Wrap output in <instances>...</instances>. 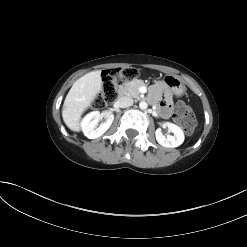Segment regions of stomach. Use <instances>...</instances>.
<instances>
[{"label": "stomach", "mask_w": 247, "mask_h": 247, "mask_svg": "<svg viewBox=\"0 0 247 247\" xmlns=\"http://www.w3.org/2000/svg\"><path fill=\"white\" fill-rule=\"evenodd\" d=\"M164 83L170 89V91L175 94L176 96H181L185 93L186 87L183 82L172 75H167L164 77Z\"/></svg>", "instance_id": "stomach-1"}]
</instances>
